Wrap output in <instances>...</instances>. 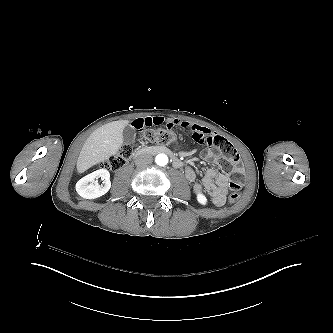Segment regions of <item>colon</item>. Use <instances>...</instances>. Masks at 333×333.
Segmentation results:
<instances>
[{
	"label": "colon",
	"instance_id": "colon-1",
	"mask_svg": "<svg viewBox=\"0 0 333 333\" xmlns=\"http://www.w3.org/2000/svg\"><path fill=\"white\" fill-rule=\"evenodd\" d=\"M183 130L187 136L198 141V144L210 146L215 151H219L224 160H221L220 165L224 172L231 173L233 178L228 183L229 195L228 199L230 202H234L239 198V191L242 187V180L244 179V166L240 160L238 151L233 145L225 138L215 135L213 130H202L200 126H193L190 123L183 125ZM142 139L149 145L152 146H163L176 142L177 136L173 129H164L158 131H139ZM133 153V148L130 145L122 146L115 155L109 157L102 162V167L108 168L109 170H117L121 167L119 157L122 155L125 158H129ZM211 158L215 155H210Z\"/></svg>",
	"mask_w": 333,
	"mask_h": 333
}]
</instances>
